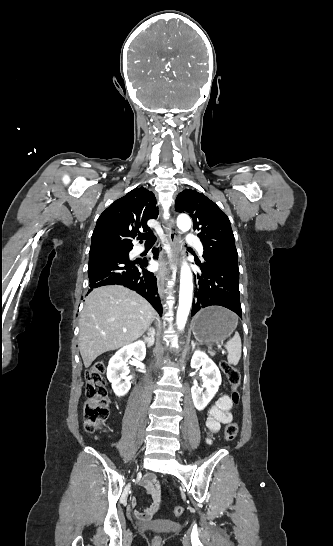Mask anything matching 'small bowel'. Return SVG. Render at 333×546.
I'll return each instance as SVG.
<instances>
[{"label": "small bowel", "instance_id": "1", "mask_svg": "<svg viewBox=\"0 0 333 546\" xmlns=\"http://www.w3.org/2000/svg\"><path fill=\"white\" fill-rule=\"evenodd\" d=\"M232 401L228 395H222L216 403L209 409L208 416L205 422L207 431V442L210 443L215 434H217L222 425L228 424L233 420L231 412ZM151 498L150 505L143 510L135 509L134 516L142 521L150 520L159 510L161 504V491L156 483V477L153 473L147 474L142 482ZM136 501H133V506H136Z\"/></svg>", "mask_w": 333, "mask_h": 546}]
</instances>
